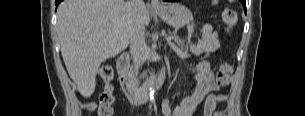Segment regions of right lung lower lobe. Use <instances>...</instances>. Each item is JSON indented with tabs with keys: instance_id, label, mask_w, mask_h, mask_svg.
Masks as SVG:
<instances>
[{
	"instance_id": "1",
	"label": "right lung lower lobe",
	"mask_w": 305,
	"mask_h": 116,
	"mask_svg": "<svg viewBox=\"0 0 305 116\" xmlns=\"http://www.w3.org/2000/svg\"><path fill=\"white\" fill-rule=\"evenodd\" d=\"M62 0H56L55 4L56 6L61 2Z\"/></svg>"
}]
</instances>
